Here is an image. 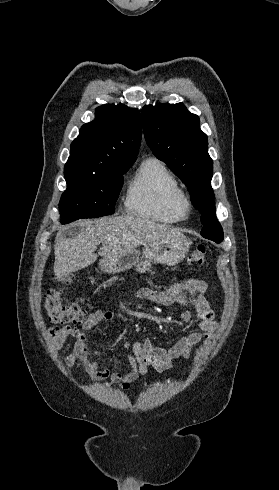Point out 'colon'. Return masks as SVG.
<instances>
[{
  "instance_id": "5ec220e1",
  "label": "colon",
  "mask_w": 279,
  "mask_h": 490,
  "mask_svg": "<svg viewBox=\"0 0 279 490\" xmlns=\"http://www.w3.org/2000/svg\"><path fill=\"white\" fill-rule=\"evenodd\" d=\"M206 255V245L198 244L188 256V264L202 266ZM74 281L72 274L63 275L55 279L53 285L44 296V308L50 322L61 325H75L83 322L85 308L81 303H73L65 306L62 299L61 286Z\"/></svg>"
}]
</instances>
